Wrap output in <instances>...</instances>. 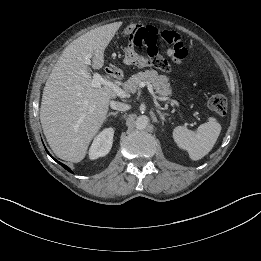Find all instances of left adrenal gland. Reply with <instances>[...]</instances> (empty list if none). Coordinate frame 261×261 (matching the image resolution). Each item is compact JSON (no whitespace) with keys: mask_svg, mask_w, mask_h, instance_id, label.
Masks as SVG:
<instances>
[{"mask_svg":"<svg viewBox=\"0 0 261 261\" xmlns=\"http://www.w3.org/2000/svg\"><path fill=\"white\" fill-rule=\"evenodd\" d=\"M157 113L160 116V119L162 121V125H164L165 117L169 116L167 113H162L159 109L156 110ZM170 119V118H169Z\"/></svg>","mask_w":261,"mask_h":261,"instance_id":"left-adrenal-gland-1","label":"left adrenal gland"}]
</instances>
